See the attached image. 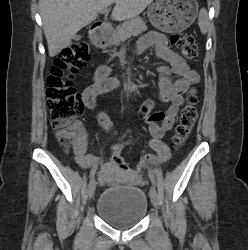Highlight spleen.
Returning a JSON list of instances; mask_svg holds the SVG:
<instances>
[{"instance_id": "spleen-1", "label": "spleen", "mask_w": 248, "mask_h": 250, "mask_svg": "<svg viewBox=\"0 0 248 250\" xmlns=\"http://www.w3.org/2000/svg\"><path fill=\"white\" fill-rule=\"evenodd\" d=\"M198 25L202 34H206L209 26L208 13L205 8L200 10Z\"/></svg>"}]
</instances>
